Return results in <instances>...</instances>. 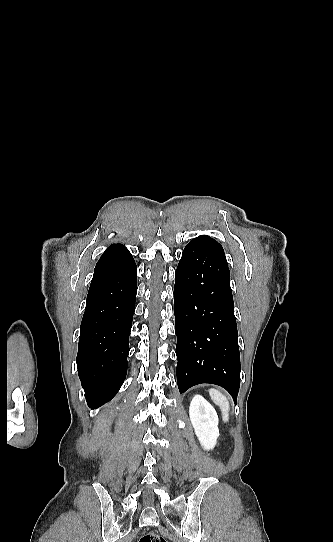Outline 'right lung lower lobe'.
Here are the masks:
<instances>
[{"label": "right lung lower lobe", "mask_w": 333, "mask_h": 542, "mask_svg": "<svg viewBox=\"0 0 333 542\" xmlns=\"http://www.w3.org/2000/svg\"><path fill=\"white\" fill-rule=\"evenodd\" d=\"M136 293L132 255L111 245L96 264L80 326L76 362L90 408L110 401L126 377Z\"/></svg>", "instance_id": "right-lung-lower-lobe-1"}]
</instances>
